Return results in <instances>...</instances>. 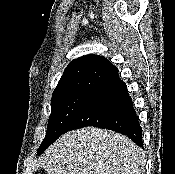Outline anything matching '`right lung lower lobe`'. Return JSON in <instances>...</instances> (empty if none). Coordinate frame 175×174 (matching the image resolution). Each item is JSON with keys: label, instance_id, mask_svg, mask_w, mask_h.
Listing matches in <instances>:
<instances>
[{"label": "right lung lower lobe", "instance_id": "right-lung-lower-lobe-1", "mask_svg": "<svg viewBox=\"0 0 175 174\" xmlns=\"http://www.w3.org/2000/svg\"><path fill=\"white\" fill-rule=\"evenodd\" d=\"M87 126L110 129L124 134L143 148L142 128L126 84L119 78L118 72L89 93L68 124L65 133ZM49 146L39 148L38 154Z\"/></svg>", "mask_w": 175, "mask_h": 174}]
</instances>
